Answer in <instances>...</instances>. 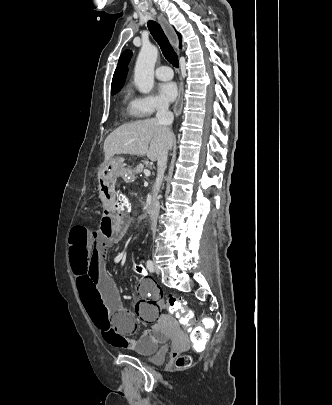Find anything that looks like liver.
<instances>
[{"label": "liver", "instance_id": "6515ba94", "mask_svg": "<svg viewBox=\"0 0 332 405\" xmlns=\"http://www.w3.org/2000/svg\"><path fill=\"white\" fill-rule=\"evenodd\" d=\"M172 142V131L160 125L155 118L123 124L104 141L105 161L112 160L115 154L146 155L151 161H156Z\"/></svg>", "mask_w": 332, "mask_h": 405}]
</instances>
